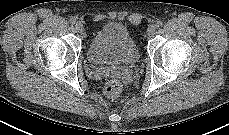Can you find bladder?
Listing matches in <instances>:
<instances>
[{"label": "bladder", "instance_id": "bladder-1", "mask_svg": "<svg viewBox=\"0 0 229 135\" xmlns=\"http://www.w3.org/2000/svg\"><path fill=\"white\" fill-rule=\"evenodd\" d=\"M87 58L94 65H133L140 53L128 29L121 23L103 25L91 38Z\"/></svg>", "mask_w": 229, "mask_h": 135}]
</instances>
